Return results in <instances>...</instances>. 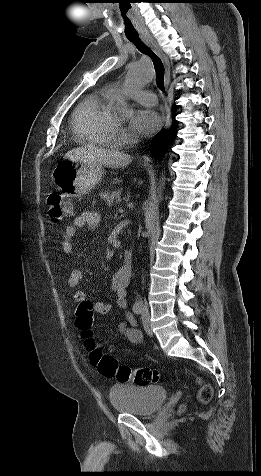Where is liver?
<instances>
[{
  "instance_id": "liver-1",
  "label": "liver",
  "mask_w": 261,
  "mask_h": 476,
  "mask_svg": "<svg viewBox=\"0 0 261 476\" xmlns=\"http://www.w3.org/2000/svg\"><path fill=\"white\" fill-rule=\"evenodd\" d=\"M64 158L71 161L97 163L111 168L125 167L131 162L128 154L91 144L68 151Z\"/></svg>"
}]
</instances>
